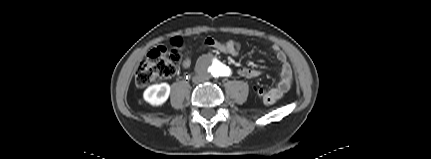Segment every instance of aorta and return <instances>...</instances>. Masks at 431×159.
<instances>
[{"label": "aorta", "mask_w": 431, "mask_h": 159, "mask_svg": "<svg viewBox=\"0 0 431 159\" xmlns=\"http://www.w3.org/2000/svg\"><path fill=\"white\" fill-rule=\"evenodd\" d=\"M206 70L210 75L220 77L226 73L227 68L223 63L214 61L207 65Z\"/></svg>", "instance_id": "1"}]
</instances>
